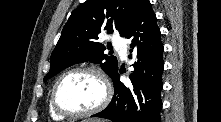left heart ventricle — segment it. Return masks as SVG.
I'll list each match as a JSON object with an SVG mask.
<instances>
[{
    "instance_id": "1",
    "label": "left heart ventricle",
    "mask_w": 221,
    "mask_h": 122,
    "mask_svg": "<svg viewBox=\"0 0 221 122\" xmlns=\"http://www.w3.org/2000/svg\"><path fill=\"white\" fill-rule=\"evenodd\" d=\"M102 97L103 87L100 80L89 73L70 75L62 81L57 92L60 106L73 112L93 108Z\"/></svg>"
}]
</instances>
